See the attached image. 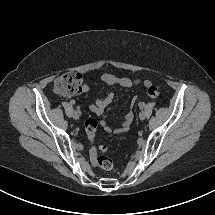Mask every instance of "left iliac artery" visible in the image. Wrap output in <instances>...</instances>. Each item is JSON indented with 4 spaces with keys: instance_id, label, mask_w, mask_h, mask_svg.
<instances>
[{
    "instance_id": "left-iliac-artery-1",
    "label": "left iliac artery",
    "mask_w": 215,
    "mask_h": 215,
    "mask_svg": "<svg viewBox=\"0 0 215 215\" xmlns=\"http://www.w3.org/2000/svg\"><path fill=\"white\" fill-rule=\"evenodd\" d=\"M143 108H144V104H140V108L138 110L141 112Z\"/></svg>"
}]
</instances>
